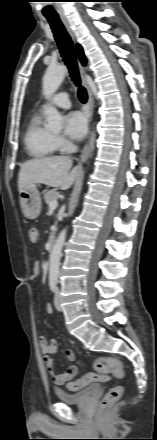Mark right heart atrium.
<instances>
[{
    "mask_svg": "<svg viewBox=\"0 0 157 440\" xmlns=\"http://www.w3.org/2000/svg\"><path fill=\"white\" fill-rule=\"evenodd\" d=\"M54 141L56 146L59 148H65L68 145V143L60 136H55Z\"/></svg>",
    "mask_w": 157,
    "mask_h": 440,
    "instance_id": "d8ad5b80",
    "label": "right heart atrium"
}]
</instances>
